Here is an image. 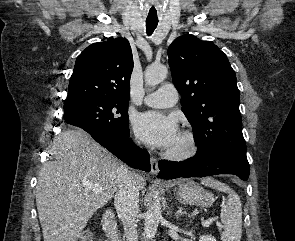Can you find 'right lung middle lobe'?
<instances>
[{
    "instance_id": "right-lung-middle-lobe-1",
    "label": "right lung middle lobe",
    "mask_w": 295,
    "mask_h": 241,
    "mask_svg": "<svg viewBox=\"0 0 295 241\" xmlns=\"http://www.w3.org/2000/svg\"><path fill=\"white\" fill-rule=\"evenodd\" d=\"M128 102H85L64 109L68 124L124 135L129 132Z\"/></svg>"
}]
</instances>
